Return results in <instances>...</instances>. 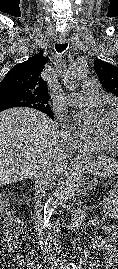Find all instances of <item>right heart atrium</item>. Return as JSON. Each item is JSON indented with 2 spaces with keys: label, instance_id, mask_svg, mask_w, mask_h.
<instances>
[{
  "label": "right heart atrium",
  "instance_id": "right-heart-atrium-1",
  "mask_svg": "<svg viewBox=\"0 0 118 269\" xmlns=\"http://www.w3.org/2000/svg\"><path fill=\"white\" fill-rule=\"evenodd\" d=\"M63 136L65 140L74 147L87 146L94 142L92 138L85 136L75 128L66 124L63 125Z\"/></svg>",
  "mask_w": 118,
  "mask_h": 269
}]
</instances>
